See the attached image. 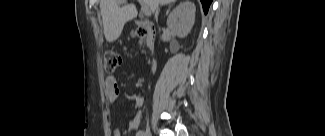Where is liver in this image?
I'll return each instance as SVG.
<instances>
[{
  "mask_svg": "<svg viewBox=\"0 0 325 136\" xmlns=\"http://www.w3.org/2000/svg\"><path fill=\"white\" fill-rule=\"evenodd\" d=\"M154 12L159 5H165L175 0H142ZM126 2V1H124ZM121 0H101L100 10L103 20L104 34L108 42H114L119 38L126 22L137 16L134 4L120 7Z\"/></svg>",
  "mask_w": 325,
  "mask_h": 136,
  "instance_id": "obj_1",
  "label": "liver"
}]
</instances>
